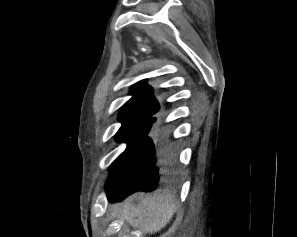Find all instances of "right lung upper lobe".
<instances>
[{"mask_svg": "<svg viewBox=\"0 0 297 237\" xmlns=\"http://www.w3.org/2000/svg\"><path fill=\"white\" fill-rule=\"evenodd\" d=\"M132 98L119 110V121L128 123L137 120H152L159 111V104L153 96V89L142 80L131 88Z\"/></svg>", "mask_w": 297, "mask_h": 237, "instance_id": "obj_1", "label": "right lung upper lobe"}]
</instances>
